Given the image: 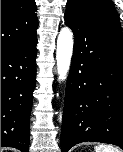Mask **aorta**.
I'll return each mask as SVG.
<instances>
[{
    "instance_id": "1",
    "label": "aorta",
    "mask_w": 123,
    "mask_h": 152,
    "mask_svg": "<svg viewBox=\"0 0 123 152\" xmlns=\"http://www.w3.org/2000/svg\"><path fill=\"white\" fill-rule=\"evenodd\" d=\"M73 44L72 31L68 27L62 28L57 38L56 49V63L59 80L63 81L67 78L73 53Z\"/></svg>"
}]
</instances>
